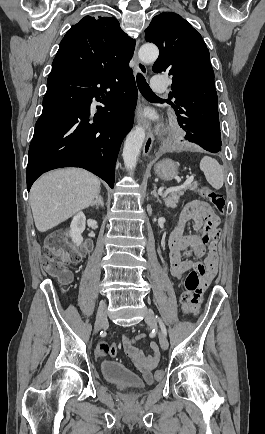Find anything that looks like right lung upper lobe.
<instances>
[{
  "label": "right lung upper lobe",
  "mask_w": 265,
  "mask_h": 434,
  "mask_svg": "<svg viewBox=\"0 0 265 434\" xmlns=\"http://www.w3.org/2000/svg\"><path fill=\"white\" fill-rule=\"evenodd\" d=\"M135 40L128 37L115 17L85 16L62 39L52 71L99 73L130 61Z\"/></svg>",
  "instance_id": "cb5924a9"
}]
</instances>
